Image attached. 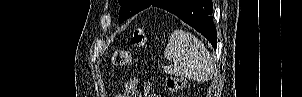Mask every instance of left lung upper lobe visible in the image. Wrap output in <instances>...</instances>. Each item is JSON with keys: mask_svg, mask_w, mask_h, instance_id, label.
<instances>
[{"mask_svg": "<svg viewBox=\"0 0 302 97\" xmlns=\"http://www.w3.org/2000/svg\"><path fill=\"white\" fill-rule=\"evenodd\" d=\"M155 0H118L120 4L119 23L149 7Z\"/></svg>", "mask_w": 302, "mask_h": 97, "instance_id": "1", "label": "left lung upper lobe"}]
</instances>
